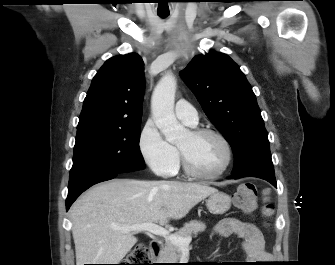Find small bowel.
<instances>
[{"label": "small bowel", "mask_w": 335, "mask_h": 265, "mask_svg": "<svg viewBox=\"0 0 335 265\" xmlns=\"http://www.w3.org/2000/svg\"><path fill=\"white\" fill-rule=\"evenodd\" d=\"M214 234L224 238L234 235L241 239L245 258L252 261L251 263H266L270 260L262 233L251 223L236 218H225L215 226Z\"/></svg>", "instance_id": "obj_1"}]
</instances>
